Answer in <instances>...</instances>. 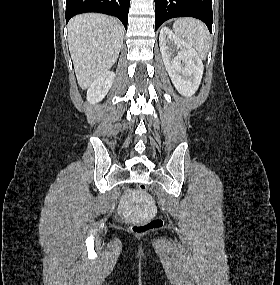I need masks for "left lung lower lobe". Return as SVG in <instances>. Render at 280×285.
<instances>
[{
    "instance_id": "left-lung-lower-lobe-1",
    "label": "left lung lower lobe",
    "mask_w": 280,
    "mask_h": 285,
    "mask_svg": "<svg viewBox=\"0 0 280 285\" xmlns=\"http://www.w3.org/2000/svg\"><path fill=\"white\" fill-rule=\"evenodd\" d=\"M174 17H195L202 20L212 32L211 0H155V30Z\"/></svg>"
}]
</instances>
